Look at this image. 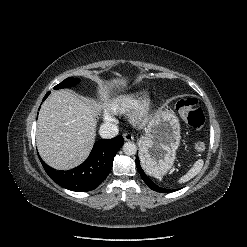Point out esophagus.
<instances>
[{"instance_id":"obj_1","label":"esophagus","mask_w":247,"mask_h":247,"mask_svg":"<svg viewBox=\"0 0 247 247\" xmlns=\"http://www.w3.org/2000/svg\"><path fill=\"white\" fill-rule=\"evenodd\" d=\"M123 138L125 141H131V140H133V135L129 134V133H124Z\"/></svg>"}]
</instances>
